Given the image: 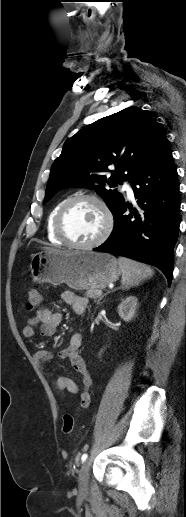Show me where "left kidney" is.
Returning a JSON list of instances; mask_svg holds the SVG:
<instances>
[{
	"instance_id": "left-kidney-1",
	"label": "left kidney",
	"mask_w": 186,
	"mask_h": 517,
	"mask_svg": "<svg viewBox=\"0 0 186 517\" xmlns=\"http://www.w3.org/2000/svg\"><path fill=\"white\" fill-rule=\"evenodd\" d=\"M138 299L129 296L118 305V314L124 321H131L136 314Z\"/></svg>"
}]
</instances>
